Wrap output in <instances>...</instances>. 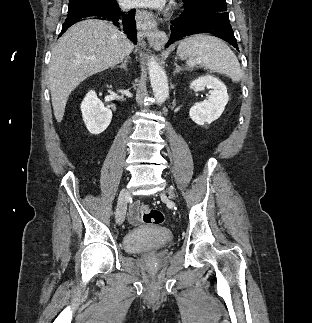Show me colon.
<instances>
[{
	"label": "colon",
	"instance_id": "colon-1",
	"mask_svg": "<svg viewBox=\"0 0 312 323\" xmlns=\"http://www.w3.org/2000/svg\"><path fill=\"white\" fill-rule=\"evenodd\" d=\"M139 211L143 222L146 224L161 225L164 222V214L158 208L143 204L139 207Z\"/></svg>",
	"mask_w": 312,
	"mask_h": 323
}]
</instances>
